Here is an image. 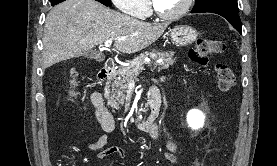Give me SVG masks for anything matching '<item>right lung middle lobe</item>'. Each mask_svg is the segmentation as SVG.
I'll return each mask as SVG.
<instances>
[{"label":"right lung middle lobe","mask_w":277,"mask_h":166,"mask_svg":"<svg viewBox=\"0 0 277 166\" xmlns=\"http://www.w3.org/2000/svg\"><path fill=\"white\" fill-rule=\"evenodd\" d=\"M51 1V0H49ZM106 6H111V0H97Z\"/></svg>","instance_id":"obj_1"}]
</instances>
